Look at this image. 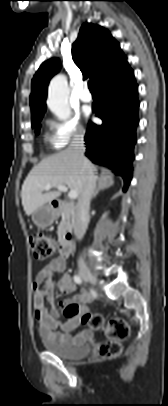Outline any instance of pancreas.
I'll list each match as a JSON object with an SVG mask.
<instances>
[{"label": "pancreas", "mask_w": 168, "mask_h": 406, "mask_svg": "<svg viewBox=\"0 0 168 406\" xmlns=\"http://www.w3.org/2000/svg\"><path fill=\"white\" fill-rule=\"evenodd\" d=\"M73 213L74 209L72 207H65L62 211V220L58 226V237L61 238L65 233L71 230L73 225Z\"/></svg>", "instance_id": "cf45deb5"}]
</instances>
